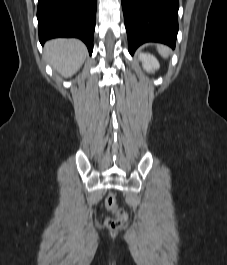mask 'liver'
Masks as SVG:
<instances>
[{
    "instance_id": "liver-1",
    "label": "liver",
    "mask_w": 227,
    "mask_h": 265,
    "mask_svg": "<svg viewBox=\"0 0 227 265\" xmlns=\"http://www.w3.org/2000/svg\"><path fill=\"white\" fill-rule=\"evenodd\" d=\"M44 53L53 67L63 77H72L82 66L87 48L78 39H53L46 43Z\"/></svg>"
}]
</instances>
